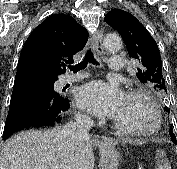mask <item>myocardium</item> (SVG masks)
I'll use <instances>...</instances> for the list:
<instances>
[{"label": "myocardium", "mask_w": 177, "mask_h": 169, "mask_svg": "<svg viewBox=\"0 0 177 169\" xmlns=\"http://www.w3.org/2000/svg\"><path fill=\"white\" fill-rule=\"evenodd\" d=\"M126 97L141 99L146 106L150 109L153 115V125L147 129L131 130L122 125H120L116 120H112L114 128L121 134L133 137H147L156 134L162 125V116L158 106L150 98V96L142 90L132 89L127 91Z\"/></svg>", "instance_id": "f54148a6"}]
</instances>
